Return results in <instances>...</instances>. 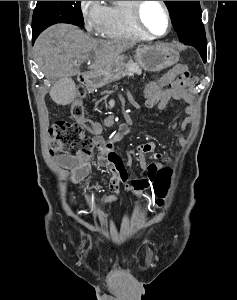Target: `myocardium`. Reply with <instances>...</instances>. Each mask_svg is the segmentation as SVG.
Returning <instances> with one entry per match:
<instances>
[{"mask_svg": "<svg viewBox=\"0 0 237 300\" xmlns=\"http://www.w3.org/2000/svg\"><path fill=\"white\" fill-rule=\"evenodd\" d=\"M160 3V5L162 6L164 13H165V17H166V22H167V28L164 34L162 35H157L155 33H153L144 23L143 21V8L145 6V4L147 3V1H134V6H133V14H134V18L135 21L138 25V27L148 36H151L153 38H157V39H162L165 38L166 36H168V34L171 31L172 28V19H171V13H170V9L168 4L166 3V1H158Z\"/></svg>", "mask_w": 237, "mask_h": 300, "instance_id": "1", "label": "myocardium"}]
</instances>
